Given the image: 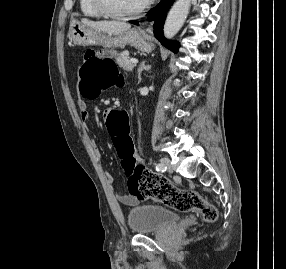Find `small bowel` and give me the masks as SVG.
<instances>
[{
	"mask_svg": "<svg viewBox=\"0 0 286 269\" xmlns=\"http://www.w3.org/2000/svg\"><path fill=\"white\" fill-rule=\"evenodd\" d=\"M78 106H79L80 118L83 122H86L90 116L87 104L85 101L79 100ZM109 109L111 108H104L103 111H100L101 118H99V123H106V116L110 115ZM92 146H93L95 156L97 157L98 160H101L102 156H101L100 149L98 148L97 144L94 141L92 142ZM105 178L109 184H112L114 182V177L109 171L105 172ZM116 197L121 203L125 205H129V206H134L139 201V198L132 196V195H128L123 190L116 191Z\"/></svg>",
	"mask_w": 286,
	"mask_h": 269,
	"instance_id": "small-bowel-1",
	"label": "small bowel"
}]
</instances>
